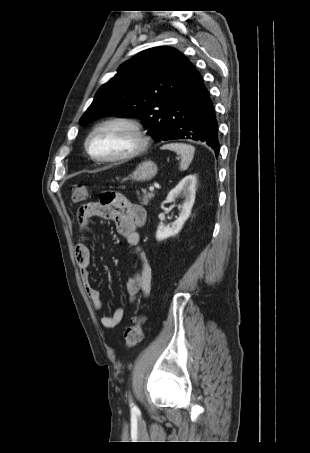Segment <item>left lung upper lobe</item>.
<instances>
[{"instance_id":"5c2ea615","label":"left lung upper lobe","mask_w":310,"mask_h":453,"mask_svg":"<svg viewBox=\"0 0 310 453\" xmlns=\"http://www.w3.org/2000/svg\"><path fill=\"white\" fill-rule=\"evenodd\" d=\"M191 62L171 47L147 49L124 62L96 93L81 117L85 124L107 115L137 117L156 140L187 80Z\"/></svg>"}]
</instances>
